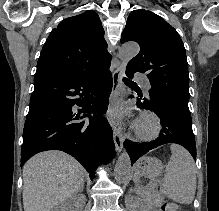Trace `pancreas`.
Returning a JSON list of instances; mask_svg holds the SVG:
<instances>
[{"mask_svg": "<svg viewBox=\"0 0 219 211\" xmlns=\"http://www.w3.org/2000/svg\"><path fill=\"white\" fill-rule=\"evenodd\" d=\"M143 192L146 193L145 199H147L150 205H159V203H162L163 197L156 189L144 188Z\"/></svg>", "mask_w": 219, "mask_h": 211, "instance_id": "cf45deb5", "label": "pancreas"}]
</instances>
